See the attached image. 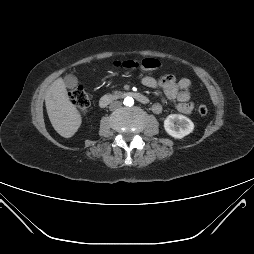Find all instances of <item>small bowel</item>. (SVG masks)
<instances>
[{
	"label": "small bowel",
	"instance_id": "obj_1",
	"mask_svg": "<svg viewBox=\"0 0 254 254\" xmlns=\"http://www.w3.org/2000/svg\"><path fill=\"white\" fill-rule=\"evenodd\" d=\"M142 84L148 88L162 89L168 100L177 102L176 109L183 114H190L194 109L191 102V82L188 78L177 79L172 74L164 75L158 79L146 75L141 80ZM152 111L156 114L161 113L162 105L154 103Z\"/></svg>",
	"mask_w": 254,
	"mask_h": 254
}]
</instances>
